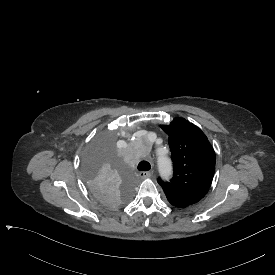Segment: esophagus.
<instances>
[{
    "instance_id": "obj_1",
    "label": "esophagus",
    "mask_w": 275,
    "mask_h": 275,
    "mask_svg": "<svg viewBox=\"0 0 275 275\" xmlns=\"http://www.w3.org/2000/svg\"><path fill=\"white\" fill-rule=\"evenodd\" d=\"M138 175H139V177L146 179L151 176V173L149 171H141V172H139Z\"/></svg>"
}]
</instances>
